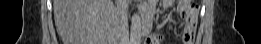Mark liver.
Masks as SVG:
<instances>
[{"label": "liver", "instance_id": "1", "mask_svg": "<svg viewBox=\"0 0 261 44\" xmlns=\"http://www.w3.org/2000/svg\"><path fill=\"white\" fill-rule=\"evenodd\" d=\"M54 19L64 44L116 42L114 25L123 24L112 0H54ZM115 44V43H108Z\"/></svg>", "mask_w": 261, "mask_h": 44}]
</instances>
